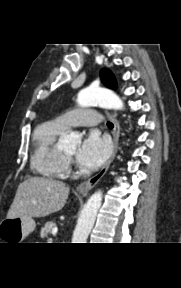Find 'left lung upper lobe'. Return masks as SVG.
<instances>
[{
	"label": "left lung upper lobe",
	"mask_w": 181,
	"mask_h": 288,
	"mask_svg": "<svg viewBox=\"0 0 181 288\" xmlns=\"http://www.w3.org/2000/svg\"><path fill=\"white\" fill-rule=\"evenodd\" d=\"M101 81L104 85L111 89H115L117 87L116 79L113 73L108 69H102L100 72Z\"/></svg>",
	"instance_id": "1"
}]
</instances>
